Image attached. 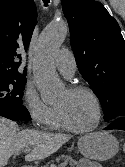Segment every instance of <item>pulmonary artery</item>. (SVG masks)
I'll return each instance as SVG.
<instances>
[{
  "mask_svg": "<svg viewBox=\"0 0 125 167\" xmlns=\"http://www.w3.org/2000/svg\"><path fill=\"white\" fill-rule=\"evenodd\" d=\"M55 66L65 76L72 77L76 70V61L72 52L68 49L60 50L55 56Z\"/></svg>",
  "mask_w": 125,
  "mask_h": 167,
  "instance_id": "pulmonary-artery-1",
  "label": "pulmonary artery"
}]
</instances>
